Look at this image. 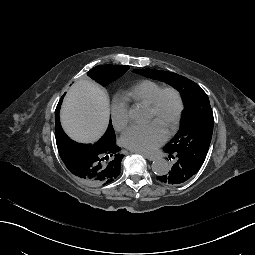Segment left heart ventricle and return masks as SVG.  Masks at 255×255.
<instances>
[{
	"label": "left heart ventricle",
	"instance_id": "obj_1",
	"mask_svg": "<svg viewBox=\"0 0 255 255\" xmlns=\"http://www.w3.org/2000/svg\"><path fill=\"white\" fill-rule=\"evenodd\" d=\"M152 124L158 128L163 134L167 135L173 126V119L176 112V99L173 93L166 92L160 101L157 118L155 121L154 113L149 109Z\"/></svg>",
	"mask_w": 255,
	"mask_h": 255
}]
</instances>
